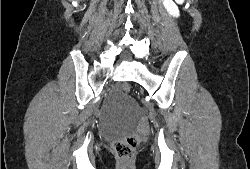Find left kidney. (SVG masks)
Returning a JSON list of instances; mask_svg holds the SVG:
<instances>
[{
	"label": "left kidney",
	"mask_w": 250,
	"mask_h": 169,
	"mask_svg": "<svg viewBox=\"0 0 250 169\" xmlns=\"http://www.w3.org/2000/svg\"><path fill=\"white\" fill-rule=\"evenodd\" d=\"M163 4L169 14H172V16H180L179 8L173 0H163Z\"/></svg>",
	"instance_id": "obj_1"
}]
</instances>
